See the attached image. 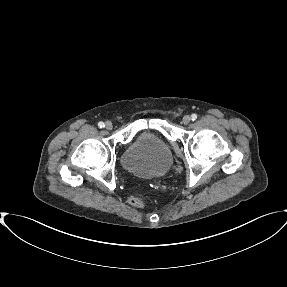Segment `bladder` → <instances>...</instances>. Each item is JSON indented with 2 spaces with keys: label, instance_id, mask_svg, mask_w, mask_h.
<instances>
[{
  "label": "bladder",
  "instance_id": "bladder-1",
  "mask_svg": "<svg viewBox=\"0 0 287 287\" xmlns=\"http://www.w3.org/2000/svg\"><path fill=\"white\" fill-rule=\"evenodd\" d=\"M122 164L129 172L144 177L164 175L172 164L166 142L158 134L140 133L126 150Z\"/></svg>",
  "mask_w": 287,
  "mask_h": 287
}]
</instances>
